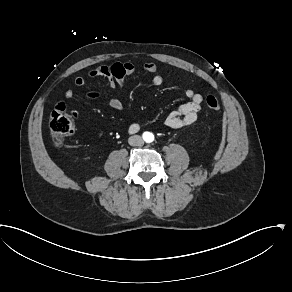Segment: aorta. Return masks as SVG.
Segmentation results:
<instances>
[{
    "label": "aorta",
    "mask_w": 292,
    "mask_h": 292,
    "mask_svg": "<svg viewBox=\"0 0 292 292\" xmlns=\"http://www.w3.org/2000/svg\"><path fill=\"white\" fill-rule=\"evenodd\" d=\"M146 137H148V135H146ZM153 135H152V139H148V141L147 142H152L153 141Z\"/></svg>",
    "instance_id": "762f6f07"
}]
</instances>
